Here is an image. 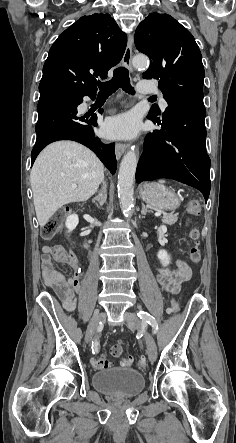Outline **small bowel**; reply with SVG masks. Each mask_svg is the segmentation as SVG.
Segmentation results:
<instances>
[{"mask_svg": "<svg viewBox=\"0 0 236 443\" xmlns=\"http://www.w3.org/2000/svg\"><path fill=\"white\" fill-rule=\"evenodd\" d=\"M53 261L69 266L73 274L66 277L53 268ZM44 284L51 289L62 302L66 310H73L76 296L80 292V281L83 276L81 266L75 255L58 245L45 246L41 258ZM158 284L166 291L175 293L181 283L188 281L192 269L186 262L178 260L176 269L171 271L164 267H156Z\"/></svg>", "mask_w": 236, "mask_h": 443, "instance_id": "c3829d8e", "label": "small bowel"}]
</instances>
